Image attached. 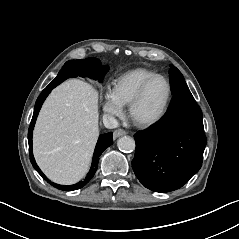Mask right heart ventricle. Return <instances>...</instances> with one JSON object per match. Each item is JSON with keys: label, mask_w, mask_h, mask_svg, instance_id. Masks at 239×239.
Instances as JSON below:
<instances>
[{"label": "right heart ventricle", "mask_w": 239, "mask_h": 239, "mask_svg": "<svg viewBox=\"0 0 239 239\" xmlns=\"http://www.w3.org/2000/svg\"><path fill=\"white\" fill-rule=\"evenodd\" d=\"M157 73L143 67L134 68L116 77L110 86V93L122 106H128L140 86Z\"/></svg>", "instance_id": "obj_1"}]
</instances>
